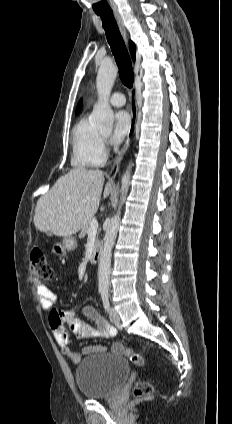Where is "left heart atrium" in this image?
<instances>
[{
    "label": "left heart atrium",
    "instance_id": "obj_1",
    "mask_svg": "<svg viewBox=\"0 0 232 424\" xmlns=\"http://www.w3.org/2000/svg\"><path fill=\"white\" fill-rule=\"evenodd\" d=\"M131 128V117L126 111H119L115 115L114 130L111 141L114 144L121 143L129 134Z\"/></svg>",
    "mask_w": 232,
    "mask_h": 424
}]
</instances>
